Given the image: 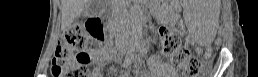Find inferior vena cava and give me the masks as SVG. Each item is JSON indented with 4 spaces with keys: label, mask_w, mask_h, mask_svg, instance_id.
<instances>
[{
    "label": "inferior vena cava",
    "mask_w": 258,
    "mask_h": 77,
    "mask_svg": "<svg viewBox=\"0 0 258 77\" xmlns=\"http://www.w3.org/2000/svg\"><path fill=\"white\" fill-rule=\"evenodd\" d=\"M118 5L115 7V17L119 25H124L128 19V11L124 6L125 0H118Z\"/></svg>",
    "instance_id": "602c4592"
}]
</instances>
